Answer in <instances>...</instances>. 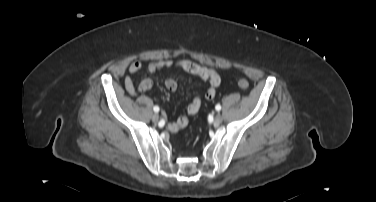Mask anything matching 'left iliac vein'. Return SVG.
I'll return each instance as SVG.
<instances>
[{
    "mask_svg": "<svg viewBox=\"0 0 376 202\" xmlns=\"http://www.w3.org/2000/svg\"><path fill=\"white\" fill-rule=\"evenodd\" d=\"M223 121V117L221 114H217L215 117H214V124L215 125H218L220 123H222Z\"/></svg>",
    "mask_w": 376,
    "mask_h": 202,
    "instance_id": "left-iliac-vein-1",
    "label": "left iliac vein"
}]
</instances>
